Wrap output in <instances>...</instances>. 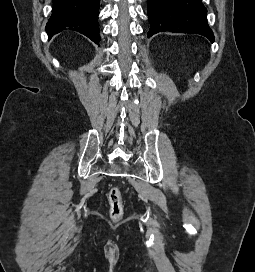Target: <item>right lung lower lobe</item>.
<instances>
[{
  "mask_svg": "<svg viewBox=\"0 0 255 272\" xmlns=\"http://www.w3.org/2000/svg\"><path fill=\"white\" fill-rule=\"evenodd\" d=\"M99 2L100 0H53L52 15L46 25L49 38L63 30H73L98 44Z\"/></svg>",
  "mask_w": 255,
  "mask_h": 272,
  "instance_id": "obj_1",
  "label": "right lung lower lobe"
}]
</instances>
